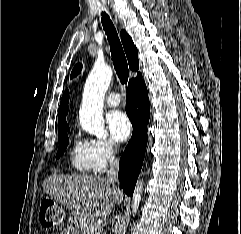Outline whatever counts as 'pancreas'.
Here are the masks:
<instances>
[{"mask_svg": "<svg viewBox=\"0 0 241 234\" xmlns=\"http://www.w3.org/2000/svg\"><path fill=\"white\" fill-rule=\"evenodd\" d=\"M94 227V224H89L88 226L83 228V231L81 234H100L101 229H98L97 231H92V228Z\"/></svg>", "mask_w": 241, "mask_h": 234, "instance_id": "obj_1", "label": "pancreas"}]
</instances>
